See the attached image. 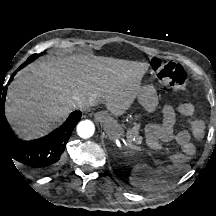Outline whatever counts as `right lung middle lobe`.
<instances>
[{"instance_id":"obj_1","label":"right lung middle lobe","mask_w":216,"mask_h":216,"mask_svg":"<svg viewBox=\"0 0 216 216\" xmlns=\"http://www.w3.org/2000/svg\"><path fill=\"white\" fill-rule=\"evenodd\" d=\"M34 56H35V55L30 56V57L27 59L26 63H24L23 65H21L20 68H23L25 64L30 63V62L32 61V59H33Z\"/></svg>"}]
</instances>
